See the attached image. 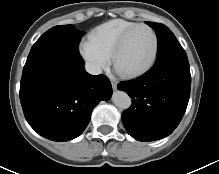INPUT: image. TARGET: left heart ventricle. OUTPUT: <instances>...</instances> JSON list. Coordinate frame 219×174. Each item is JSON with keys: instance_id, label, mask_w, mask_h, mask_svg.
<instances>
[{"instance_id": "left-heart-ventricle-1", "label": "left heart ventricle", "mask_w": 219, "mask_h": 174, "mask_svg": "<svg viewBox=\"0 0 219 174\" xmlns=\"http://www.w3.org/2000/svg\"><path fill=\"white\" fill-rule=\"evenodd\" d=\"M154 39L152 33L145 28L136 30L127 41L117 59V68L124 72H132L145 67L152 58Z\"/></svg>"}]
</instances>
